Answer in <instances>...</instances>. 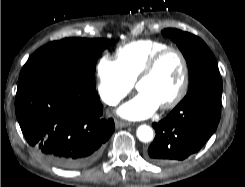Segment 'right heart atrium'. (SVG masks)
<instances>
[{
  "label": "right heart atrium",
  "instance_id": "d8ad5b80",
  "mask_svg": "<svg viewBox=\"0 0 245 187\" xmlns=\"http://www.w3.org/2000/svg\"><path fill=\"white\" fill-rule=\"evenodd\" d=\"M97 93L107 106H115L131 91L133 84L124 76L117 62L105 55L96 64Z\"/></svg>",
  "mask_w": 245,
  "mask_h": 187
}]
</instances>
